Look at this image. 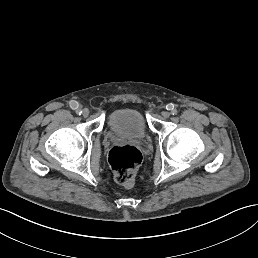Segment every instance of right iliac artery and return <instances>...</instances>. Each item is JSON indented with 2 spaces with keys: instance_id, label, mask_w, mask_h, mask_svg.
Wrapping results in <instances>:
<instances>
[{
  "instance_id": "obj_1",
  "label": "right iliac artery",
  "mask_w": 258,
  "mask_h": 258,
  "mask_svg": "<svg viewBox=\"0 0 258 258\" xmlns=\"http://www.w3.org/2000/svg\"><path fill=\"white\" fill-rule=\"evenodd\" d=\"M76 114H77V115H81V114H82V111H81V110H77V111H76Z\"/></svg>"
}]
</instances>
